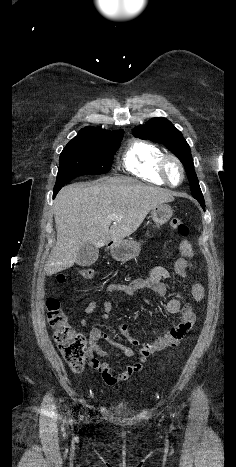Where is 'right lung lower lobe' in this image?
<instances>
[{
    "instance_id": "obj_1",
    "label": "right lung lower lobe",
    "mask_w": 236,
    "mask_h": 467,
    "mask_svg": "<svg viewBox=\"0 0 236 467\" xmlns=\"http://www.w3.org/2000/svg\"><path fill=\"white\" fill-rule=\"evenodd\" d=\"M62 187H63V186H55V187H54L53 198L56 196V194L58 193V191H59Z\"/></svg>"
}]
</instances>
